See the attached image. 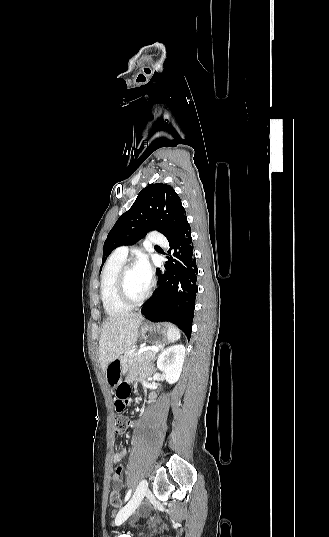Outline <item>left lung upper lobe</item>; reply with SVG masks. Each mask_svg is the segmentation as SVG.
<instances>
[{"label":"left lung upper lobe","instance_id":"obj_1","mask_svg":"<svg viewBox=\"0 0 329 537\" xmlns=\"http://www.w3.org/2000/svg\"><path fill=\"white\" fill-rule=\"evenodd\" d=\"M186 221L181 200L171 186L162 183L148 185L110 230L104 242L102 266L115 248L134 244L152 230L159 231L169 241Z\"/></svg>","mask_w":329,"mask_h":537}]
</instances>
